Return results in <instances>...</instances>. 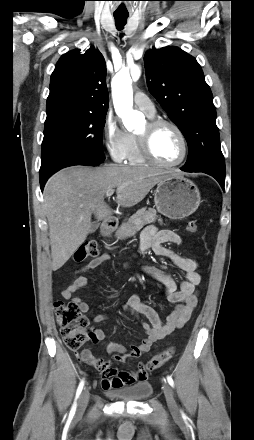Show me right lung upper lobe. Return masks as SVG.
Instances as JSON below:
<instances>
[{"label": "right lung upper lobe", "instance_id": "1", "mask_svg": "<svg viewBox=\"0 0 254 440\" xmlns=\"http://www.w3.org/2000/svg\"><path fill=\"white\" fill-rule=\"evenodd\" d=\"M108 103L102 54L90 48L84 54L73 50L62 55L51 75L47 110L67 106L106 113Z\"/></svg>", "mask_w": 254, "mask_h": 440}]
</instances>
